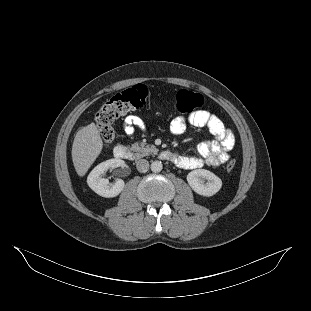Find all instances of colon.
I'll use <instances>...</instances> for the list:
<instances>
[{
    "mask_svg": "<svg viewBox=\"0 0 311 311\" xmlns=\"http://www.w3.org/2000/svg\"><path fill=\"white\" fill-rule=\"evenodd\" d=\"M150 92L144 85H136L117 93L107 100L96 113L95 120L105 145H109L115 137L113 123L119 117L133 110L142 108L148 102ZM203 104L200 94L182 89L176 95V108L180 113H191ZM236 160L231 158L226 164L228 171L234 169Z\"/></svg>",
    "mask_w": 311,
    "mask_h": 311,
    "instance_id": "5ec220e1",
    "label": "colon"
}]
</instances>
